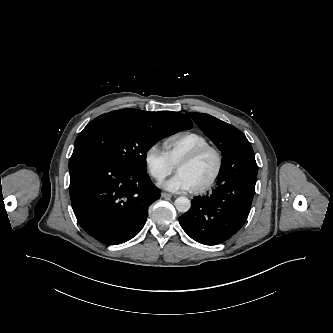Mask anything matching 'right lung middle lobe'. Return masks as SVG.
<instances>
[{
	"label": "right lung middle lobe",
	"instance_id": "1",
	"mask_svg": "<svg viewBox=\"0 0 333 333\" xmlns=\"http://www.w3.org/2000/svg\"><path fill=\"white\" fill-rule=\"evenodd\" d=\"M187 126L169 121L153 123L127 114L109 112L92 120L78 135L74 149L86 148L106 156L119 166L146 173L147 151L158 140Z\"/></svg>",
	"mask_w": 333,
	"mask_h": 333
}]
</instances>
